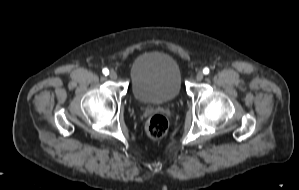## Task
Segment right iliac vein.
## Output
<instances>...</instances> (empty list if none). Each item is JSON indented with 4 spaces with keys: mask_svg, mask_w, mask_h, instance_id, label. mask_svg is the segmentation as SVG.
<instances>
[{
    "mask_svg": "<svg viewBox=\"0 0 299 190\" xmlns=\"http://www.w3.org/2000/svg\"><path fill=\"white\" fill-rule=\"evenodd\" d=\"M109 77L113 80H115L117 78V73L115 71H110L109 73Z\"/></svg>",
    "mask_w": 299,
    "mask_h": 190,
    "instance_id": "1",
    "label": "right iliac vein"
}]
</instances>
